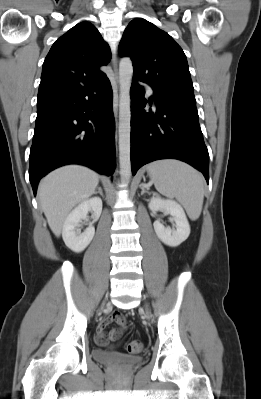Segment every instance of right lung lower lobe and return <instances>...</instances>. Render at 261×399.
Wrapping results in <instances>:
<instances>
[{
    "label": "right lung lower lobe",
    "mask_w": 261,
    "mask_h": 399,
    "mask_svg": "<svg viewBox=\"0 0 261 399\" xmlns=\"http://www.w3.org/2000/svg\"><path fill=\"white\" fill-rule=\"evenodd\" d=\"M113 94L107 76L96 83L37 102L30 149L29 179L36 195L39 180L66 164H82L112 175Z\"/></svg>",
    "instance_id": "right-lung-lower-lobe-1"
}]
</instances>
